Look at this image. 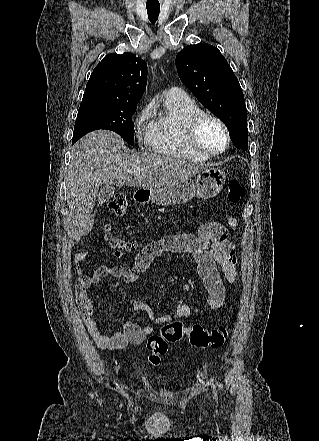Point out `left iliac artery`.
I'll return each mask as SVG.
<instances>
[{"label":"left iliac artery","mask_w":319,"mask_h":441,"mask_svg":"<svg viewBox=\"0 0 319 441\" xmlns=\"http://www.w3.org/2000/svg\"><path fill=\"white\" fill-rule=\"evenodd\" d=\"M210 384H211V386H212V388H213L215 398H216V400H218L217 392H216V388H215V385H214V382H213V379H212V378L210 379Z\"/></svg>","instance_id":"44dca946"}]
</instances>
